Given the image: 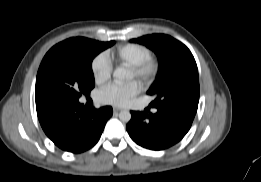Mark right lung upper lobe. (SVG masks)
<instances>
[{
    "label": "right lung upper lobe",
    "mask_w": 261,
    "mask_h": 182,
    "mask_svg": "<svg viewBox=\"0 0 261 182\" xmlns=\"http://www.w3.org/2000/svg\"><path fill=\"white\" fill-rule=\"evenodd\" d=\"M77 38H81V37H77ZM45 107H47V106L41 105V104H39V103H36L37 112L40 111V110H42V109L45 108Z\"/></svg>",
    "instance_id": "cb5924a9"
}]
</instances>
